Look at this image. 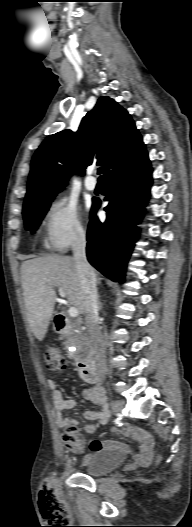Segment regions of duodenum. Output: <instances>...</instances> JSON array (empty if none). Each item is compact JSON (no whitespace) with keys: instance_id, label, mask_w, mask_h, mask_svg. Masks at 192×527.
Returning <instances> with one entry per match:
<instances>
[{"instance_id":"obj_1","label":"duodenum","mask_w":192,"mask_h":527,"mask_svg":"<svg viewBox=\"0 0 192 527\" xmlns=\"http://www.w3.org/2000/svg\"><path fill=\"white\" fill-rule=\"evenodd\" d=\"M55 325L59 333L67 335L72 330V325L66 319V317L58 313L55 316ZM78 370L81 378L86 382L96 384L99 381V376L96 370V366L91 359H81L78 361Z\"/></svg>"}]
</instances>
